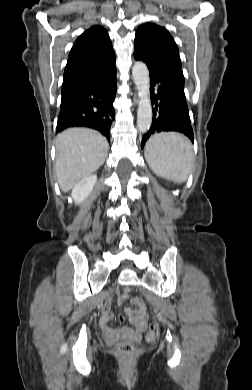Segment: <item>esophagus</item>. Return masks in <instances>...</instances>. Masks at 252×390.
Masks as SVG:
<instances>
[{"label":"esophagus","instance_id":"34e87169","mask_svg":"<svg viewBox=\"0 0 252 390\" xmlns=\"http://www.w3.org/2000/svg\"><path fill=\"white\" fill-rule=\"evenodd\" d=\"M134 102H135V103L138 102V99H137V96H136V95L134 96Z\"/></svg>","mask_w":252,"mask_h":390}]
</instances>
